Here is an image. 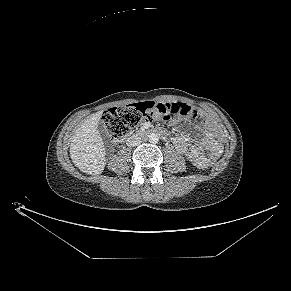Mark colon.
Here are the masks:
<instances>
[{"label":"colon","instance_id":"5ec220e1","mask_svg":"<svg viewBox=\"0 0 291 291\" xmlns=\"http://www.w3.org/2000/svg\"><path fill=\"white\" fill-rule=\"evenodd\" d=\"M199 112L185 103L142 102L126 107L111 108L104 112L102 121L105 132L112 138H122L142 120L167 119L170 116L197 117ZM218 156L211 155L209 166L217 164Z\"/></svg>","mask_w":291,"mask_h":291}]
</instances>
